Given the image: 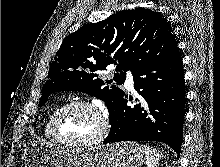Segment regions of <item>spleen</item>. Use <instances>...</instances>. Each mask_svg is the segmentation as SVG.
I'll return each mask as SVG.
<instances>
[{"instance_id": "3e777b00", "label": "spleen", "mask_w": 220, "mask_h": 167, "mask_svg": "<svg viewBox=\"0 0 220 167\" xmlns=\"http://www.w3.org/2000/svg\"><path fill=\"white\" fill-rule=\"evenodd\" d=\"M140 149L146 155L147 167H156L162 157V152L147 145H141Z\"/></svg>"}]
</instances>
